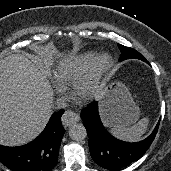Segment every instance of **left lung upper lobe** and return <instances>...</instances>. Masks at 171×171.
I'll return each mask as SVG.
<instances>
[{
    "label": "left lung upper lobe",
    "instance_id": "left-lung-upper-lobe-1",
    "mask_svg": "<svg viewBox=\"0 0 171 171\" xmlns=\"http://www.w3.org/2000/svg\"><path fill=\"white\" fill-rule=\"evenodd\" d=\"M119 49L121 50V56H120V61L126 60V59H131V58H136V59H140L144 62H147V60L145 59V57L140 54L139 52H137L136 50L130 48V47H126L123 45H118Z\"/></svg>",
    "mask_w": 171,
    "mask_h": 171
}]
</instances>
